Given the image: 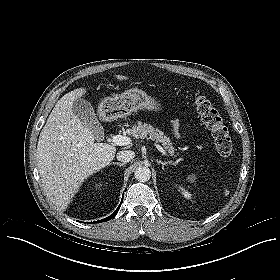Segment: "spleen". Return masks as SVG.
<instances>
[{
  "label": "spleen",
  "mask_w": 280,
  "mask_h": 280,
  "mask_svg": "<svg viewBox=\"0 0 280 280\" xmlns=\"http://www.w3.org/2000/svg\"><path fill=\"white\" fill-rule=\"evenodd\" d=\"M229 194V191L228 190H225V195H228Z\"/></svg>",
  "instance_id": "3e777b00"
}]
</instances>
